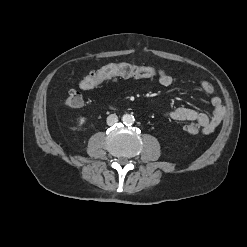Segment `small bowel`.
<instances>
[{"label":"small bowel","instance_id":"obj_1","mask_svg":"<svg viewBox=\"0 0 247 247\" xmlns=\"http://www.w3.org/2000/svg\"><path fill=\"white\" fill-rule=\"evenodd\" d=\"M159 83L165 87H174L173 78L165 73L159 77ZM200 87L206 94L211 95L214 92L212 84L208 81H202ZM210 102L213 107L211 115L183 106L167 111L165 115L176 121L196 122L204 134H211L221 123L225 115V108L218 96H213Z\"/></svg>","mask_w":247,"mask_h":247}]
</instances>
